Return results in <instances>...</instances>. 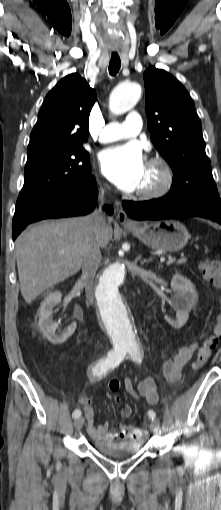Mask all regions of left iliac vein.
<instances>
[{"mask_svg": "<svg viewBox=\"0 0 221 510\" xmlns=\"http://www.w3.org/2000/svg\"><path fill=\"white\" fill-rule=\"evenodd\" d=\"M150 429L154 434H159L160 432V423L158 420H152L150 423Z\"/></svg>", "mask_w": 221, "mask_h": 510, "instance_id": "obj_1", "label": "left iliac vein"}]
</instances>
